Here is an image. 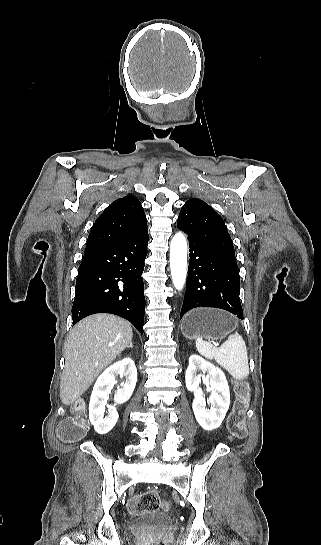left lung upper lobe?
Listing matches in <instances>:
<instances>
[{"mask_svg":"<svg viewBox=\"0 0 321 545\" xmlns=\"http://www.w3.org/2000/svg\"><path fill=\"white\" fill-rule=\"evenodd\" d=\"M201 202H203V201L200 200V199L193 198V199H189V200L185 203V205H187V204H193V203H201Z\"/></svg>","mask_w":321,"mask_h":545,"instance_id":"left-lung-upper-lobe-1","label":"left lung upper lobe"}]
</instances>
